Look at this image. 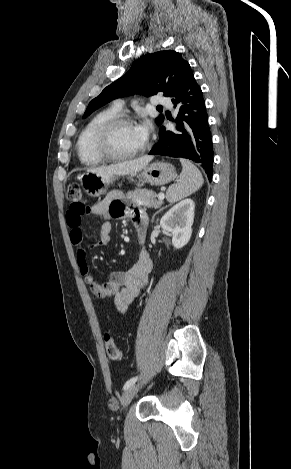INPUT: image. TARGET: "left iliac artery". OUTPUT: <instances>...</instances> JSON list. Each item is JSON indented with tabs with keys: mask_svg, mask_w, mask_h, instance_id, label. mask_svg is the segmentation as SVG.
<instances>
[{
	"mask_svg": "<svg viewBox=\"0 0 291 469\" xmlns=\"http://www.w3.org/2000/svg\"><path fill=\"white\" fill-rule=\"evenodd\" d=\"M137 379H138L137 376L132 377L131 379H129V380L125 383L123 389L126 390V389L129 388L130 386L134 385L135 382L137 381Z\"/></svg>",
	"mask_w": 291,
	"mask_h": 469,
	"instance_id": "left-iliac-artery-1",
	"label": "left iliac artery"
}]
</instances>
